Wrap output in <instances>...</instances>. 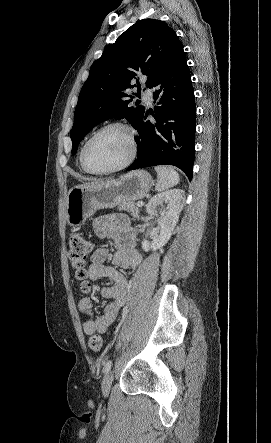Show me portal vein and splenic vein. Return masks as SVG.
<instances>
[{
  "instance_id": "1",
  "label": "portal vein and splenic vein",
  "mask_w": 271,
  "mask_h": 443,
  "mask_svg": "<svg viewBox=\"0 0 271 443\" xmlns=\"http://www.w3.org/2000/svg\"><path fill=\"white\" fill-rule=\"evenodd\" d=\"M137 206L138 208H141V206H143V202H137Z\"/></svg>"
}]
</instances>
